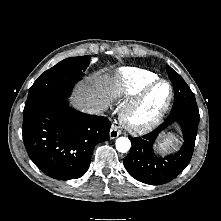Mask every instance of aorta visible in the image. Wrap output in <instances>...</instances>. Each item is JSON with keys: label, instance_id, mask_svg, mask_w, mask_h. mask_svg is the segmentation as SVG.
Instances as JSON below:
<instances>
[{"label": "aorta", "instance_id": "1", "mask_svg": "<svg viewBox=\"0 0 221 221\" xmlns=\"http://www.w3.org/2000/svg\"><path fill=\"white\" fill-rule=\"evenodd\" d=\"M115 144L116 149L121 153H126L131 147L130 140L126 137H119Z\"/></svg>", "mask_w": 221, "mask_h": 221}]
</instances>
